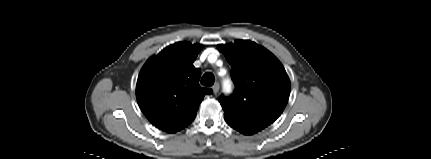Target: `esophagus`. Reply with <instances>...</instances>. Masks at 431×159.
Wrapping results in <instances>:
<instances>
[{
  "instance_id": "1",
  "label": "esophagus",
  "mask_w": 431,
  "mask_h": 159,
  "mask_svg": "<svg viewBox=\"0 0 431 159\" xmlns=\"http://www.w3.org/2000/svg\"><path fill=\"white\" fill-rule=\"evenodd\" d=\"M212 91H213V93H214V94H217V93H218V91H219V84H218V83H215V84L213 85V87H212Z\"/></svg>"
}]
</instances>
